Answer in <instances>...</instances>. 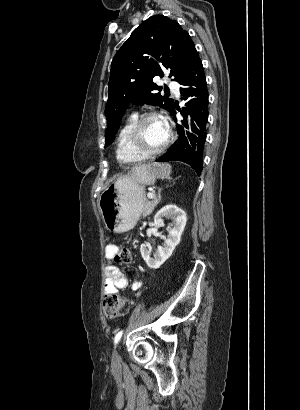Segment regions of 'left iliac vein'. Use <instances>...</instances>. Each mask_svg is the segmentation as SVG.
<instances>
[{
    "instance_id": "1",
    "label": "left iliac vein",
    "mask_w": 300,
    "mask_h": 410,
    "mask_svg": "<svg viewBox=\"0 0 300 410\" xmlns=\"http://www.w3.org/2000/svg\"><path fill=\"white\" fill-rule=\"evenodd\" d=\"M119 362H120V356H119V353H118V349H115L114 352H113L112 363L114 365H117V364H119Z\"/></svg>"
}]
</instances>
